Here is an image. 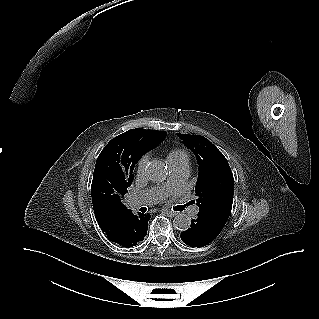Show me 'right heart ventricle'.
I'll return each mask as SVG.
<instances>
[{"mask_svg":"<svg viewBox=\"0 0 319 319\" xmlns=\"http://www.w3.org/2000/svg\"><path fill=\"white\" fill-rule=\"evenodd\" d=\"M183 159H188V155L182 149H172L167 155V161L169 165H173Z\"/></svg>","mask_w":319,"mask_h":319,"instance_id":"1","label":"right heart ventricle"}]
</instances>
